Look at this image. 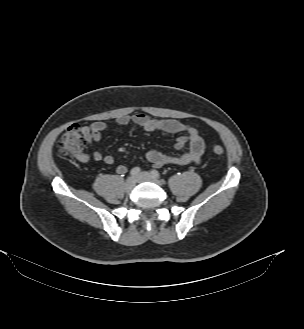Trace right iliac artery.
<instances>
[{
  "label": "right iliac artery",
  "instance_id": "82829eb1",
  "mask_svg": "<svg viewBox=\"0 0 304 329\" xmlns=\"http://www.w3.org/2000/svg\"><path fill=\"white\" fill-rule=\"evenodd\" d=\"M141 171V169L139 168V167H134V168H132L131 169V171H130V175L131 176H136V175H138V173Z\"/></svg>",
  "mask_w": 304,
  "mask_h": 329
}]
</instances>
